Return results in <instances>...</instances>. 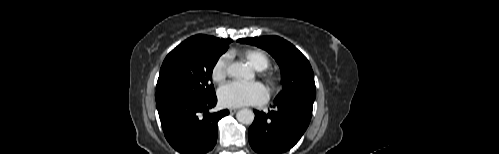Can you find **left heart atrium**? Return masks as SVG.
I'll return each instance as SVG.
<instances>
[{"label": "left heart atrium", "mask_w": 499, "mask_h": 154, "mask_svg": "<svg viewBox=\"0 0 499 154\" xmlns=\"http://www.w3.org/2000/svg\"><path fill=\"white\" fill-rule=\"evenodd\" d=\"M219 102L224 107L242 105H260L266 102L268 95L260 83H246L240 81L229 82L218 91Z\"/></svg>", "instance_id": "1"}]
</instances>
